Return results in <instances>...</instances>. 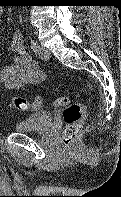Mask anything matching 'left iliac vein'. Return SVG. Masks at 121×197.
<instances>
[{"instance_id": "obj_1", "label": "left iliac vein", "mask_w": 121, "mask_h": 197, "mask_svg": "<svg viewBox=\"0 0 121 197\" xmlns=\"http://www.w3.org/2000/svg\"><path fill=\"white\" fill-rule=\"evenodd\" d=\"M36 53L41 60L46 61L50 58V52L45 47H43L41 45H38Z\"/></svg>"}]
</instances>
